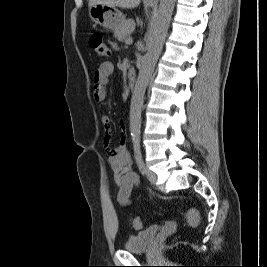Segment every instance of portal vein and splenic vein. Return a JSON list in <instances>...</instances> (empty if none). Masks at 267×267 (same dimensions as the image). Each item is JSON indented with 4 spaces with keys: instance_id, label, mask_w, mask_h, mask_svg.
Returning <instances> with one entry per match:
<instances>
[{
    "instance_id": "1",
    "label": "portal vein and splenic vein",
    "mask_w": 267,
    "mask_h": 267,
    "mask_svg": "<svg viewBox=\"0 0 267 267\" xmlns=\"http://www.w3.org/2000/svg\"><path fill=\"white\" fill-rule=\"evenodd\" d=\"M132 42H133L132 38L129 37L126 39V44H132Z\"/></svg>"
}]
</instances>
